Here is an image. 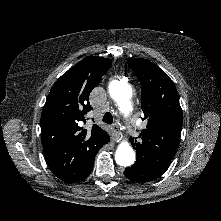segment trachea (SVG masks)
Segmentation results:
<instances>
[{
    "instance_id": "trachea-1",
    "label": "trachea",
    "mask_w": 221,
    "mask_h": 221,
    "mask_svg": "<svg viewBox=\"0 0 221 221\" xmlns=\"http://www.w3.org/2000/svg\"><path fill=\"white\" fill-rule=\"evenodd\" d=\"M102 120H103V122H105L107 124H112L113 123V116L111 113L107 112L104 114Z\"/></svg>"
}]
</instances>
